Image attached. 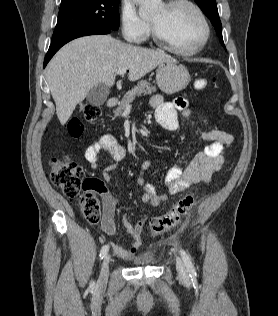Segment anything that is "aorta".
<instances>
[{
	"instance_id": "1",
	"label": "aorta",
	"mask_w": 278,
	"mask_h": 316,
	"mask_svg": "<svg viewBox=\"0 0 278 316\" xmlns=\"http://www.w3.org/2000/svg\"><path fill=\"white\" fill-rule=\"evenodd\" d=\"M139 5V15L142 18H147L155 14L161 4V0H135Z\"/></svg>"
}]
</instances>
